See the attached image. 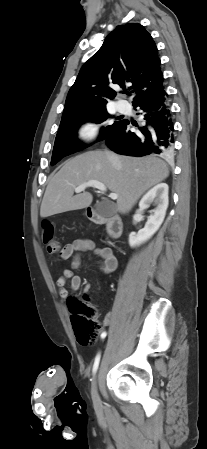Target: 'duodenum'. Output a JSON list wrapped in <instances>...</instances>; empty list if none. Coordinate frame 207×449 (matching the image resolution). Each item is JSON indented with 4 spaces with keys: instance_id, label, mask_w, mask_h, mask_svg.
I'll return each mask as SVG.
<instances>
[{
    "instance_id": "obj_1",
    "label": "duodenum",
    "mask_w": 207,
    "mask_h": 449,
    "mask_svg": "<svg viewBox=\"0 0 207 449\" xmlns=\"http://www.w3.org/2000/svg\"><path fill=\"white\" fill-rule=\"evenodd\" d=\"M88 218L94 224H106L109 234L114 239L119 238L123 232V223L119 216L104 217L94 209H89Z\"/></svg>"
}]
</instances>
